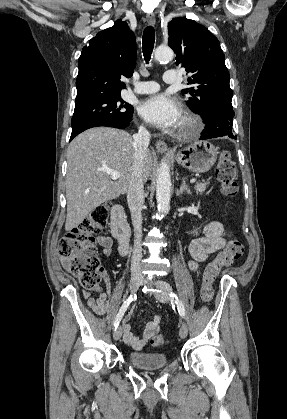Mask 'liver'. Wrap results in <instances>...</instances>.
<instances>
[{"mask_svg": "<svg viewBox=\"0 0 287 419\" xmlns=\"http://www.w3.org/2000/svg\"><path fill=\"white\" fill-rule=\"evenodd\" d=\"M135 159L132 136L123 130L98 127L79 134L67 151L65 230L76 228L96 207L128 191ZM153 158L147 149L143 178L151 174ZM103 169L120 173L117 180Z\"/></svg>", "mask_w": 287, "mask_h": 419, "instance_id": "liver-1", "label": "liver"}]
</instances>
